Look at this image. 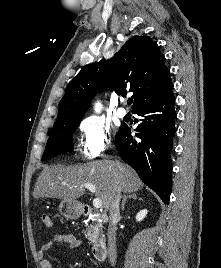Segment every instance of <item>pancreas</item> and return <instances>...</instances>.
Returning <instances> with one entry per match:
<instances>
[{"label": "pancreas", "instance_id": "pancreas-1", "mask_svg": "<svg viewBox=\"0 0 221 268\" xmlns=\"http://www.w3.org/2000/svg\"><path fill=\"white\" fill-rule=\"evenodd\" d=\"M92 224L86 226V238L90 243H94L102 234V223L97 216L92 217Z\"/></svg>", "mask_w": 221, "mask_h": 268}]
</instances>
